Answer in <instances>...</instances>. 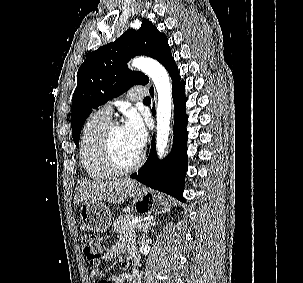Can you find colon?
<instances>
[{"label":"colon","instance_id":"colon-1","mask_svg":"<svg viewBox=\"0 0 303 283\" xmlns=\"http://www.w3.org/2000/svg\"><path fill=\"white\" fill-rule=\"evenodd\" d=\"M80 247L86 259L91 264H98L106 249L105 241L94 235H83L80 238ZM98 283H114V279L102 278Z\"/></svg>","mask_w":303,"mask_h":283}]
</instances>
